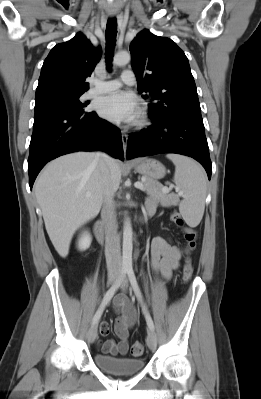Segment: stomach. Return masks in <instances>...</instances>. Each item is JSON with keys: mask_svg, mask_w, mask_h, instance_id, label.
<instances>
[{"mask_svg": "<svg viewBox=\"0 0 261 399\" xmlns=\"http://www.w3.org/2000/svg\"><path fill=\"white\" fill-rule=\"evenodd\" d=\"M133 165L138 173L154 180L161 179L166 174L165 166L155 159H138Z\"/></svg>", "mask_w": 261, "mask_h": 399, "instance_id": "stomach-1", "label": "stomach"}]
</instances>
